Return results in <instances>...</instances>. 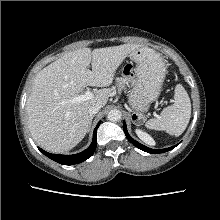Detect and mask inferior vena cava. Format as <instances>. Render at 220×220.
<instances>
[{
	"label": "inferior vena cava",
	"mask_w": 220,
	"mask_h": 220,
	"mask_svg": "<svg viewBox=\"0 0 220 220\" xmlns=\"http://www.w3.org/2000/svg\"><path fill=\"white\" fill-rule=\"evenodd\" d=\"M102 105L101 104H95L93 106H91L88 110V113L93 116L95 115L100 109H101Z\"/></svg>",
	"instance_id": "obj_1"
}]
</instances>
